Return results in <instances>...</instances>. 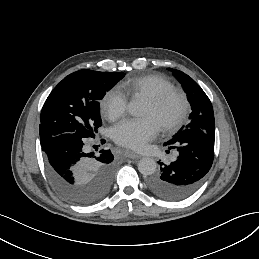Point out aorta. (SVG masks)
<instances>
[{
    "label": "aorta",
    "instance_id": "aorta-1",
    "mask_svg": "<svg viewBox=\"0 0 259 259\" xmlns=\"http://www.w3.org/2000/svg\"><path fill=\"white\" fill-rule=\"evenodd\" d=\"M128 112L133 116H140L142 114L143 108L141 103L134 99L128 104ZM157 163L152 158H142L138 162V170L144 176L152 175L156 172Z\"/></svg>",
    "mask_w": 259,
    "mask_h": 259
}]
</instances>
